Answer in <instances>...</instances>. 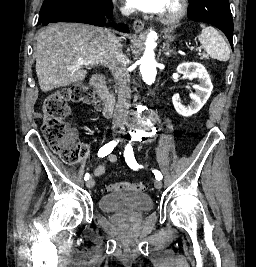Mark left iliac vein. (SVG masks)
<instances>
[{
	"label": "left iliac vein",
	"instance_id": "1",
	"mask_svg": "<svg viewBox=\"0 0 256 267\" xmlns=\"http://www.w3.org/2000/svg\"><path fill=\"white\" fill-rule=\"evenodd\" d=\"M154 186H155L156 189L159 190L162 187V182L160 180H155Z\"/></svg>",
	"mask_w": 256,
	"mask_h": 267
}]
</instances>
